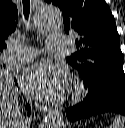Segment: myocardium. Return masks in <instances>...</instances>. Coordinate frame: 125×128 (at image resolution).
<instances>
[{
    "mask_svg": "<svg viewBox=\"0 0 125 128\" xmlns=\"http://www.w3.org/2000/svg\"><path fill=\"white\" fill-rule=\"evenodd\" d=\"M84 94V88L82 86H79L76 88L74 92V99H79Z\"/></svg>",
    "mask_w": 125,
    "mask_h": 128,
    "instance_id": "f54148a6",
    "label": "myocardium"
}]
</instances>
